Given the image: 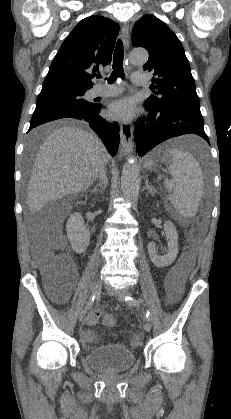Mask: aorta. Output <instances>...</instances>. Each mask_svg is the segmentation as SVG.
<instances>
[{
	"instance_id": "aorta-1",
	"label": "aorta",
	"mask_w": 231,
	"mask_h": 419,
	"mask_svg": "<svg viewBox=\"0 0 231 419\" xmlns=\"http://www.w3.org/2000/svg\"><path fill=\"white\" fill-rule=\"evenodd\" d=\"M148 60V53L144 49H134L130 53V61L134 65H143ZM140 183V173L137 157L130 156L122 169L121 188L123 196L131 199L137 192Z\"/></svg>"
}]
</instances>
